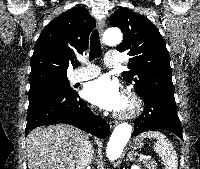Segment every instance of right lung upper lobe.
I'll return each mask as SVG.
<instances>
[{"label": "right lung upper lobe", "instance_id": "cb5924a9", "mask_svg": "<svg viewBox=\"0 0 200 169\" xmlns=\"http://www.w3.org/2000/svg\"><path fill=\"white\" fill-rule=\"evenodd\" d=\"M95 20L86 8L75 7L53 19L41 32L31 58L30 86L48 79L67 78L75 53L88 48Z\"/></svg>", "mask_w": 200, "mask_h": 169}]
</instances>
